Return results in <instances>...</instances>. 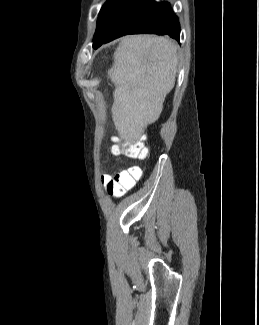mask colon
I'll use <instances>...</instances> for the list:
<instances>
[{
  "label": "colon",
  "instance_id": "1",
  "mask_svg": "<svg viewBox=\"0 0 259 325\" xmlns=\"http://www.w3.org/2000/svg\"><path fill=\"white\" fill-rule=\"evenodd\" d=\"M112 151L115 154H124L132 158H145L148 153L141 141L123 142L119 139L113 141ZM140 177L141 173L137 169L118 172L105 183L107 192L111 197H121L126 191L134 187Z\"/></svg>",
  "mask_w": 259,
  "mask_h": 325
}]
</instances>
